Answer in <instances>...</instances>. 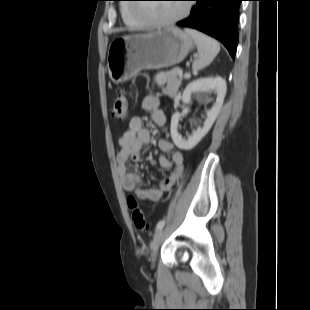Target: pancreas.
<instances>
[{
  "label": "pancreas",
  "instance_id": "cf45deb5",
  "mask_svg": "<svg viewBox=\"0 0 310 310\" xmlns=\"http://www.w3.org/2000/svg\"><path fill=\"white\" fill-rule=\"evenodd\" d=\"M178 68H174L170 71L160 72L155 76V82L162 88V92L171 98L176 97L179 86L181 85L182 76L177 74ZM166 84V87L164 85Z\"/></svg>",
  "mask_w": 310,
  "mask_h": 310
}]
</instances>
